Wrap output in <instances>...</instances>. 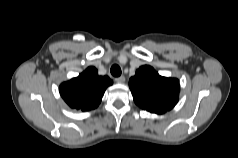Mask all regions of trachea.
<instances>
[{"label": "trachea", "mask_w": 238, "mask_h": 158, "mask_svg": "<svg viewBox=\"0 0 238 158\" xmlns=\"http://www.w3.org/2000/svg\"><path fill=\"white\" fill-rule=\"evenodd\" d=\"M111 74L114 76V77H119L121 75V68L119 67V65L117 64H114L112 67H111Z\"/></svg>", "instance_id": "obj_1"}]
</instances>
